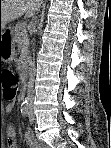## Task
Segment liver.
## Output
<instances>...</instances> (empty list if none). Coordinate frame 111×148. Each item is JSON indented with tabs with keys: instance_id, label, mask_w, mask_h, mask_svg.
<instances>
[{
	"instance_id": "liver-1",
	"label": "liver",
	"mask_w": 111,
	"mask_h": 148,
	"mask_svg": "<svg viewBox=\"0 0 111 148\" xmlns=\"http://www.w3.org/2000/svg\"><path fill=\"white\" fill-rule=\"evenodd\" d=\"M42 0H1L0 25L2 29L7 23L22 15L32 16L40 7Z\"/></svg>"
}]
</instances>
